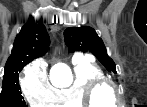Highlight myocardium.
I'll list each match as a JSON object with an SVG mask.
<instances>
[{
    "label": "myocardium",
    "mask_w": 147,
    "mask_h": 107,
    "mask_svg": "<svg viewBox=\"0 0 147 107\" xmlns=\"http://www.w3.org/2000/svg\"><path fill=\"white\" fill-rule=\"evenodd\" d=\"M102 87H110L114 93V100L115 103L120 102V95L118 93L117 85L110 79L106 77H98L91 80L84 88L83 91V103L85 107H102L97 106L94 101V96L97 90H99Z\"/></svg>",
    "instance_id": "f54148a6"
}]
</instances>
